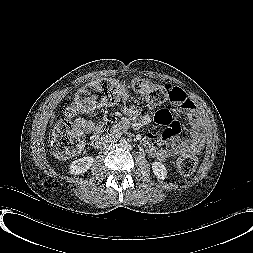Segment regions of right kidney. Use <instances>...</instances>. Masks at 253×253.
Listing matches in <instances>:
<instances>
[{
    "label": "right kidney",
    "mask_w": 253,
    "mask_h": 253,
    "mask_svg": "<svg viewBox=\"0 0 253 253\" xmlns=\"http://www.w3.org/2000/svg\"><path fill=\"white\" fill-rule=\"evenodd\" d=\"M94 162V158L92 156H86L74 160L69 165V170L71 174L79 175L85 173Z\"/></svg>",
    "instance_id": "ca27d5eb"
}]
</instances>
